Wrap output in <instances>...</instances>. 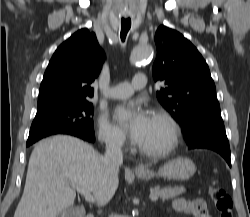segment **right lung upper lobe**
Masks as SVG:
<instances>
[{"label":"right lung upper lobe","instance_id":"right-lung-upper-lobe-1","mask_svg":"<svg viewBox=\"0 0 250 217\" xmlns=\"http://www.w3.org/2000/svg\"><path fill=\"white\" fill-rule=\"evenodd\" d=\"M105 54L96 35L81 29L53 54L40 85L37 110L88 100L94 89Z\"/></svg>","mask_w":250,"mask_h":217}]
</instances>
